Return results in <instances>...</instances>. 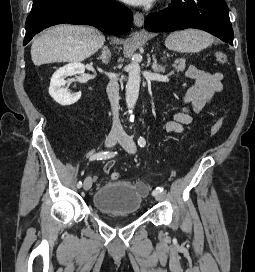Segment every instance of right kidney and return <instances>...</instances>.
<instances>
[{
  "instance_id": "1",
  "label": "right kidney",
  "mask_w": 255,
  "mask_h": 272,
  "mask_svg": "<svg viewBox=\"0 0 255 272\" xmlns=\"http://www.w3.org/2000/svg\"><path fill=\"white\" fill-rule=\"evenodd\" d=\"M85 72V65L82 63H71L59 68L52 76L49 87L50 96L60 105L69 106L76 103L80 97L81 92L69 93L65 86V77L83 74Z\"/></svg>"
}]
</instances>
